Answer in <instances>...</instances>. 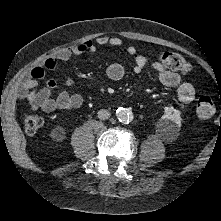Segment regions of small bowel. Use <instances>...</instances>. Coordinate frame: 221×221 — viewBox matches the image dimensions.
<instances>
[{
	"label": "small bowel",
	"instance_id": "c3829d8e",
	"mask_svg": "<svg viewBox=\"0 0 221 221\" xmlns=\"http://www.w3.org/2000/svg\"><path fill=\"white\" fill-rule=\"evenodd\" d=\"M123 40L118 36H100L95 40H86L71 47L59 49L50 57L45 59L38 67L34 68L29 77L25 78L19 86L18 96L29 104L33 109H40L44 112H53L56 110H71L79 108L83 99L79 94H70L67 91H61L54 95L57 82L49 78L47 71L56 70L59 61H66L72 56L85 53H95L99 46L119 47ZM127 52L130 55H136L137 49L129 46ZM148 60L144 55H136L133 70L140 73L147 66ZM152 69L156 72L160 83L168 88L177 90V96L181 103L190 104L195 98V89L189 82H184L181 76L173 71L163 67L160 62H154ZM108 78L112 81H120L125 76V69L120 63H112L106 69ZM45 81L46 86L39 88V82ZM64 83L67 86L73 84V79L65 78Z\"/></svg>",
	"mask_w": 221,
	"mask_h": 221
}]
</instances>
